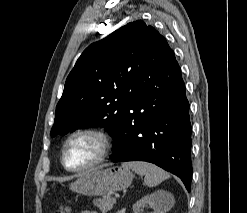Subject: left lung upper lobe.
<instances>
[{
	"instance_id": "obj_1",
	"label": "left lung upper lobe",
	"mask_w": 247,
	"mask_h": 213,
	"mask_svg": "<svg viewBox=\"0 0 247 213\" xmlns=\"http://www.w3.org/2000/svg\"><path fill=\"white\" fill-rule=\"evenodd\" d=\"M170 51L165 38L142 20L89 45L67 77L51 137L101 126L115 138L146 74Z\"/></svg>"
}]
</instances>
